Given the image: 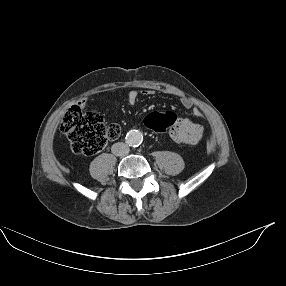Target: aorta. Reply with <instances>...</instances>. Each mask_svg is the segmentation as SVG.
I'll return each instance as SVG.
<instances>
[{
    "label": "aorta",
    "mask_w": 286,
    "mask_h": 286,
    "mask_svg": "<svg viewBox=\"0 0 286 286\" xmlns=\"http://www.w3.org/2000/svg\"><path fill=\"white\" fill-rule=\"evenodd\" d=\"M143 141V135L138 130H131L126 135V143L129 146L137 147Z\"/></svg>",
    "instance_id": "aorta-1"
}]
</instances>
